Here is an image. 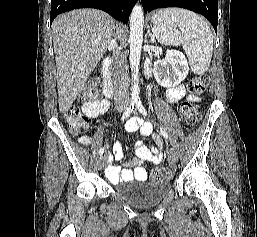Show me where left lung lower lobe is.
Listing matches in <instances>:
<instances>
[{"mask_svg":"<svg viewBox=\"0 0 257 237\" xmlns=\"http://www.w3.org/2000/svg\"><path fill=\"white\" fill-rule=\"evenodd\" d=\"M145 13L157 8L180 7L192 10L205 16L217 31L218 1L217 0H141Z\"/></svg>","mask_w":257,"mask_h":237,"instance_id":"1","label":"left lung lower lobe"}]
</instances>
